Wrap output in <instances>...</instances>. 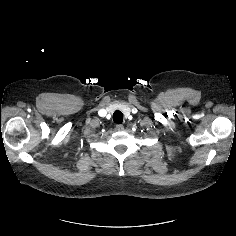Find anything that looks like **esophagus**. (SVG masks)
I'll return each mask as SVG.
<instances>
[{
  "label": "esophagus",
  "instance_id": "obj_1",
  "mask_svg": "<svg viewBox=\"0 0 236 236\" xmlns=\"http://www.w3.org/2000/svg\"><path fill=\"white\" fill-rule=\"evenodd\" d=\"M116 130L123 131L124 130V126L122 124H118V125H116Z\"/></svg>",
  "mask_w": 236,
  "mask_h": 236
}]
</instances>
